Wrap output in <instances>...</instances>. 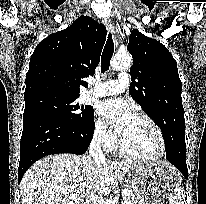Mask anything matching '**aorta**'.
<instances>
[{"label":"aorta","instance_id":"1","mask_svg":"<svg viewBox=\"0 0 206 204\" xmlns=\"http://www.w3.org/2000/svg\"><path fill=\"white\" fill-rule=\"evenodd\" d=\"M131 56L127 53H117L112 61L111 66L115 70L127 69L131 66Z\"/></svg>","mask_w":206,"mask_h":204}]
</instances>
